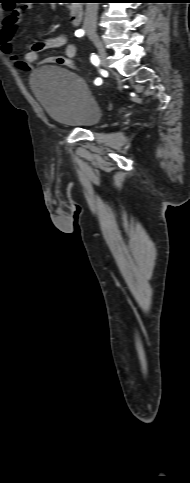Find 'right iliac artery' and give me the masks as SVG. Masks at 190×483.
Segmentation results:
<instances>
[{
  "instance_id": "82829eb1",
  "label": "right iliac artery",
  "mask_w": 190,
  "mask_h": 483,
  "mask_svg": "<svg viewBox=\"0 0 190 483\" xmlns=\"http://www.w3.org/2000/svg\"><path fill=\"white\" fill-rule=\"evenodd\" d=\"M75 35L77 37H82L84 35V31L82 29H79V30H76L75 32ZM91 62L95 65V66H98L99 65V58L97 57V55L95 54H92L91 55ZM102 83V80L101 78H96L95 80V84L96 85H100Z\"/></svg>"
}]
</instances>
